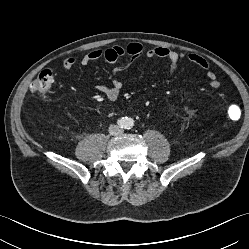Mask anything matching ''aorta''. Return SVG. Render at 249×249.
Wrapping results in <instances>:
<instances>
[{"instance_id":"1","label":"aorta","mask_w":249,"mask_h":249,"mask_svg":"<svg viewBox=\"0 0 249 249\" xmlns=\"http://www.w3.org/2000/svg\"><path fill=\"white\" fill-rule=\"evenodd\" d=\"M133 125H134V120L132 118H129V117L124 118L123 126L125 128L129 129V128L133 127Z\"/></svg>"}]
</instances>
